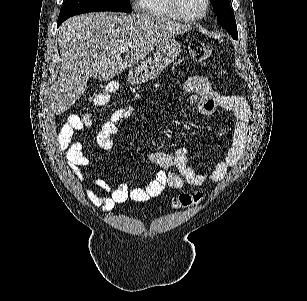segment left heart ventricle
<instances>
[{"mask_svg": "<svg viewBox=\"0 0 307 301\" xmlns=\"http://www.w3.org/2000/svg\"><path fill=\"white\" fill-rule=\"evenodd\" d=\"M177 2L179 7L176 9L175 13H190V11L201 10V7L198 3H201L202 0H182Z\"/></svg>", "mask_w": 307, "mask_h": 301, "instance_id": "1", "label": "left heart ventricle"}]
</instances>
